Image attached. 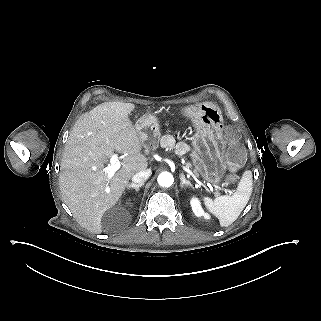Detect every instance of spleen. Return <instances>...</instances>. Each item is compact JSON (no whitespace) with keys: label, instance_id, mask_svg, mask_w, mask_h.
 Here are the masks:
<instances>
[{"label":"spleen","instance_id":"3e777b00","mask_svg":"<svg viewBox=\"0 0 321 321\" xmlns=\"http://www.w3.org/2000/svg\"><path fill=\"white\" fill-rule=\"evenodd\" d=\"M252 192V173L244 171L232 196H219L214 200L203 197L205 210L219 220L221 227L230 226L247 205Z\"/></svg>","mask_w":321,"mask_h":321}]
</instances>
